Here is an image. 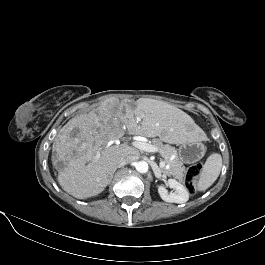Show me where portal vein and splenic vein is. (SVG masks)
<instances>
[{
    "mask_svg": "<svg viewBox=\"0 0 265 265\" xmlns=\"http://www.w3.org/2000/svg\"><path fill=\"white\" fill-rule=\"evenodd\" d=\"M132 145L134 147L142 150V151H145V152H149V153L159 152V149L155 145L147 143V142L135 140V141L132 142ZM100 152H101V149H99L96 152V155H95V158H94V162L98 161V159L100 158ZM159 166H160V168H163V167L168 168L169 167L168 165H166L165 160H162L160 162Z\"/></svg>",
    "mask_w": 265,
    "mask_h": 265,
    "instance_id": "18ae733b",
    "label": "portal vein and splenic vein"
}]
</instances>
